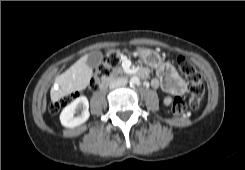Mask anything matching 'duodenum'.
Wrapping results in <instances>:
<instances>
[{"label":"duodenum","instance_id":"obj_1","mask_svg":"<svg viewBox=\"0 0 245 170\" xmlns=\"http://www.w3.org/2000/svg\"><path fill=\"white\" fill-rule=\"evenodd\" d=\"M138 75H139L140 77H146V71H145L144 69H140V70L138 71ZM109 82H110V79H108V78L102 80V81L100 82L99 88H100V89H105V88L108 86Z\"/></svg>","mask_w":245,"mask_h":170}]
</instances>
